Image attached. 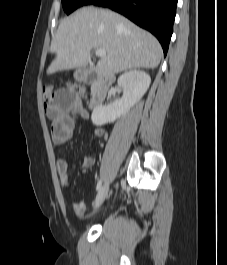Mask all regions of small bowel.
I'll use <instances>...</instances> for the list:
<instances>
[{
	"label": "small bowel",
	"instance_id": "obj_1",
	"mask_svg": "<svg viewBox=\"0 0 227 265\" xmlns=\"http://www.w3.org/2000/svg\"><path fill=\"white\" fill-rule=\"evenodd\" d=\"M81 91H75V87H59V91H54L53 99L50 102H43L46 114L51 120V136L55 144L60 145L69 141L74 134V119L72 113L83 119L89 118V112L84 108L83 99H80ZM94 133L97 137L104 135V129L96 126ZM95 164L93 156L83 158V168H90ZM58 178L63 188L69 186L68 163L60 158L56 163ZM73 210L77 216H83L86 207L83 201L75 202Z\"/></svg>",
	"mask_w": 227,
	"mask_h": 265
}]
</instances>
